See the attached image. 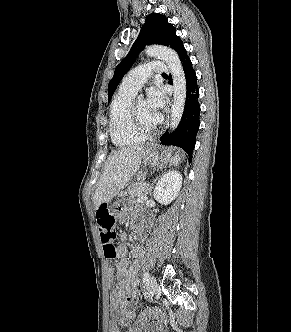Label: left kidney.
<instances>
[{"label": "left kidney", "instance_id": "obj_1", "mask_svg": "<svg viewBox=\"0 0 291 332\" xmlns=\"http://www.w3.org/2000/svg\"><path fill=\"white\" fill-rule=\"evenodd\" d=\"M182 175L177 171H169L164 174L153 192V197L161 204L171 203L179 194L182 186Z\"/></svg>", "mask_w": 291, "mask_h": 332}]
</instances>
